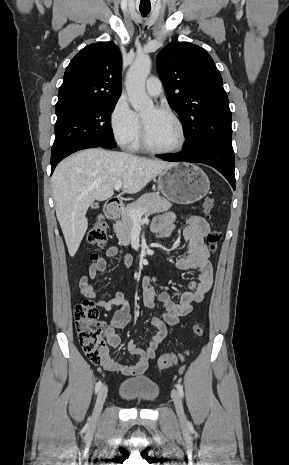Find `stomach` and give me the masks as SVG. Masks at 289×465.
<instances>
[{"label": "stomach", "instance_id": "1", "mask_svg": "<svg viewBox=\"0 0 289 465\" xmlns=\"http://www.w3.org/2000/svg\"><path fill=\"white\" fill-rule=\"evenodd\" d=\"M158 188L168 200L192 204L202 199L210 189L205 172L190 163H174L158 177Z\"/></svg>", "mask_w": 289, "mask_h": 465}]
</instances>
